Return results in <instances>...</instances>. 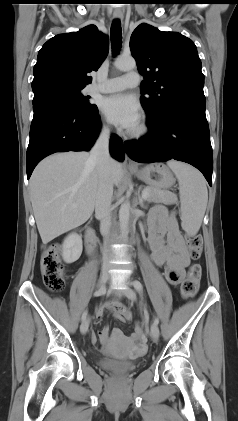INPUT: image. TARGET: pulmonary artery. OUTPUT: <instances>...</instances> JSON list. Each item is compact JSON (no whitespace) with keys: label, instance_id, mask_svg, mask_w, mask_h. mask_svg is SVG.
<instances>
[{"label":"pulmonary artery","instance_id":"1","mask_svg":"<svg viewBox=\"0 0 238 421\" xmlns=\"http://www.w3.org/2000/svg\"><path fill=\"white\" fill-rule=\"evenodd\" d=\"M140 76L137 72H128L123 76L109 78L103 83L93 87V90L103 93H112L126 88L136 87L139 84Z\"/></svg>","mask_w":238,"mask_h":421}]
</instances>
